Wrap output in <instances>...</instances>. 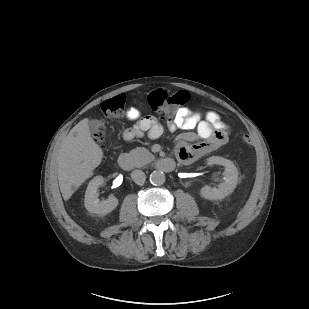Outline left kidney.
Wrapping results in <instances>:
<instances>
[{"instance_id": "left-kidney-1", "label": "left kidney", "mask_w": 309, "mask_h": 309, "mask_svg": "<svg viewBox=\"0 0 309 309\" xmlns=\"http://www.w3.org/2000/svg\"><path fill=\"white\" fill-rule=\"evenodd\" d=\"M207 165H222L225 167L224 182H222L218 188H211L205 185L201 188L200 194L203 198L208 200H221L231 194L236 188L238 181V170L232 161L218 157L212 156L207 159Z\"/></svg>"}]
</instances>
